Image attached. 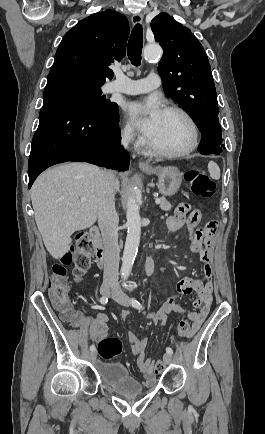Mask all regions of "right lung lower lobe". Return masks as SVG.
<instances>
[{
	"instance_id": "obj_1",
	"label": "right lung lower lobe",
	"mask_w": 265,
	"mask_h": 434,
	"mask_svg": "<svg viewBox=\"0 0 265 434\" xmlns=\"http://www.w3.org/2000/svg\"><path fill=\"white\" fill-rule=\"evenodd\" d=\"M118 122V116L92 117L61 92H45L29 157V188L42 171L67 161L127 170L130 159L120 146Z\"/></svg>"
}]
</instances>
